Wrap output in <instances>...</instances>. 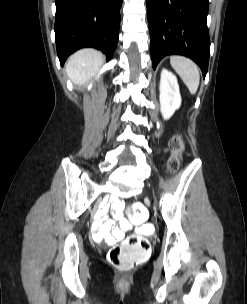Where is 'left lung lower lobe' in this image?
Listing matches in <instances>:
<instances>
[{"mask_svg":"<svg viewBox=\"0 0 247 304\" xmlns=\"http://www.w3.org/2000/svg\"><path fill=\"white\" fill-rule=\"evenodd\" d=\"M153 69L166 55L191 58L205 78L210 54L208 0H146Z\"/></svg>","mask_w":247,"mask_h":304,"instance_id":"left-lung-lower-lobe-1","label":"left lung lower lobe"}]
</instances>
